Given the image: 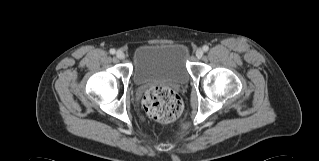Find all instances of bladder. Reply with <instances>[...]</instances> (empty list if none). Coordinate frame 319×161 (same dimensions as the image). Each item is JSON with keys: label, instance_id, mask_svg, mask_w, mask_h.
<instances>
[{"label": "bladder", "instance_id": "31cf9c89", "mask_svg": "<svg viewBox=\"0 0 319 161\" xmlns=\"http://www.w3.org/2000/svg\"><path fill=\"white\" fill-rule=\"evenodd\" d=\"M188 57L187 49L180 43L140 45L134 52V80L138 85H185L190 80Z\"/></svg>", "mask_w": 319, "mask_h": 161}]
</instances>
